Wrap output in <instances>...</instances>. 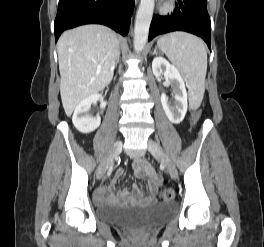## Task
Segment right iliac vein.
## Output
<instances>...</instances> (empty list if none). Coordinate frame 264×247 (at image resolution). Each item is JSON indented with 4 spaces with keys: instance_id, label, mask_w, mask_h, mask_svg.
I'll list each match as a JSON object with an SVG mask.
<instances>
[{
    "instance_id": "63e3f726",
    "label": "right iliac vein",
    "mask_w": 264,
    "mask_h": 247,
    "mask_svg": "<svg viewBox=\"0 0 264 247\" xmlns=\"http://www.w3.org/2000/svg\"><path fill=\"white\" fill-rule=\"evenodd\" d=\"M121 150H122V142L117 141L116 143H114V145L110 149L108 155L102 161V163L100 164V166L98 168V171H97V178L98 179H100L105 174V172L108 170L110 164L119 155Z\"/></svg>"
}]
</instances>
